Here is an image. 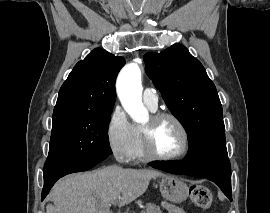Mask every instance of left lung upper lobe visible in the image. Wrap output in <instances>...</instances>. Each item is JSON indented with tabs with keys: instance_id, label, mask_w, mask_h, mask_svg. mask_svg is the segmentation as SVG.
<instances>
[{
	"instance_id": "1",
	"label": "left lung upper lobe",
	"mask_w": 270,
	"mask_h": 213,
	"mask_svg": "<svg viewBox=\"0 0 270 213\" xmlns=\"http://www.w3.org/2000/svg\"><path fill=\"white\" fill-rule=\"evenodd\" d=\"M146 73L189 133V151L204 177L231 176L222 105L202 64L180 44L144 55Z\"/></svg>"
}]
</instances>
